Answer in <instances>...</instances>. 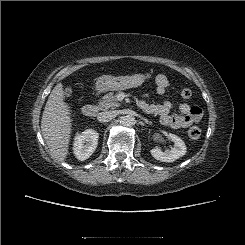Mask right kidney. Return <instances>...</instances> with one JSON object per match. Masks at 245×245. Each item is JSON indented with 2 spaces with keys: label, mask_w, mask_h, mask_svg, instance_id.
Wrapping results in <instances>:
<instances>
[{
  "label": "right kidney",
  "mask_w": 245,
  "mask_h": 245,
  "mask_svg": "<svg viewBox=\"0 0 245 245\" xmlns=\"http://www.w3.org/2000/svg\"><path fill=\"white\" fill-rule=\"evenodd\" d=\"M99 133L93 129H87L77 134L73 143L74 154L77 159L84 161L88 159L98 145Z\"/></svg>",
  "instance_id": "ca27d5eb"
}]
</instances>
